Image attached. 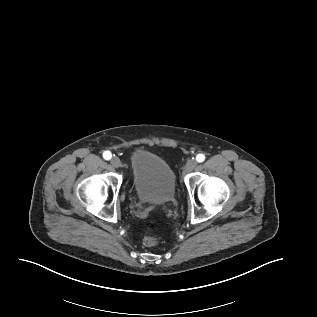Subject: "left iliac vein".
Wrapping results in <instances>:
<instances>
[{
	"instance_id": "obj_1",
	"label": "left iliac vein",
	"mask_w": 317,
	"mask_h": 317,
	"mask_svg": "<svg viewBox=\"0 0 317 317\" xmlns=\"http://www.w3.org/2000/svg\"><path fill=\"white\" fill-rule=\"evenodd\" d=\"M197 165V162L193 159H190L186 162V165H185V171L186 172H191L195 169Z\"/></svg>"
}]
</instances>
